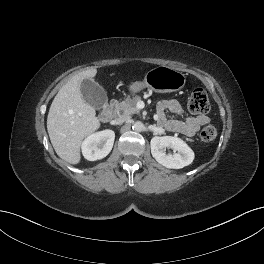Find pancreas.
<instances>
[{
	"instance_id": "cf45deb5",
	"label": "pancreas",
	"mask_w": 264,
	"mask_h": 264,
	"mask_svg": "<svg viewBox=\"0 0 264 264\" xmlns=\"http://www.w3.org/2000/svg\"><path fill=\"white\" fill-rule=\"evenodd\" d=\"M139 96H135L132 99L127 97L124 101L116 104V111L118 114H123L129 117L132 114H140V110L136 107L138 101H140Z\"/></svg>"
}]
</instances>
